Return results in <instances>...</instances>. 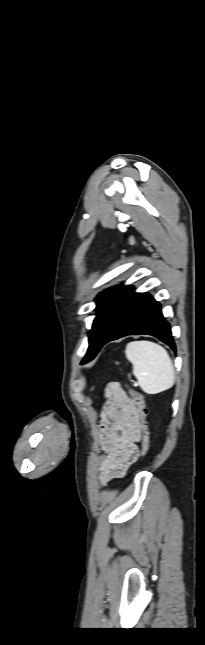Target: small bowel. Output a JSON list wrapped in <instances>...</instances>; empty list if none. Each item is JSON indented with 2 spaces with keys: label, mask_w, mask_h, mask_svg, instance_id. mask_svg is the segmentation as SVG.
Returning <instances> with one entry per match:
<instances>
[{
  "label": "small bowel",
  "mask_w": 205,
  "mask_h": 645,
  "mask_svg": "<svg viewBox=\"0 0 205 645\" xmlns=\"http://www.w3.org/2000/svg\"><path fill=\"white\" fill-rule=\"evenodd\" d=\"M140 439L138 414L131 398L123 390L110 386L101 410L98 436L103 452L97 463L101 485L125 475L138 458Z\"/></svg>",
  "instance_id": "small-bowel-1"
}]
</instances>
